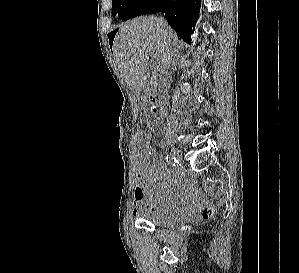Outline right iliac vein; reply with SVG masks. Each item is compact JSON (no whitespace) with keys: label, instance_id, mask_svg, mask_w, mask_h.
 <instances>
[{"label":"right iliac vein","instance_id":"63e3f726","mask_svg":"<svg viewBox=\"0 0 299 273\" xmlns=\"http://www.w3.org/2000/svg\"><path fill=\"white\" fill-rule=\"evenodd\" d=\"M170 151H171V154L176 158V160L178 162H180L182 160L181 151L177 147L172 146L170 148Z\"/></svg>","mask_w":299,"mask_h":273}]
</instances>
